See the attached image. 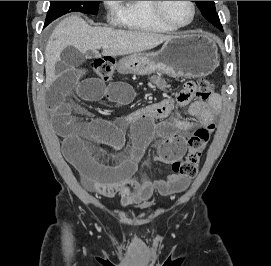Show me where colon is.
<instances>
[{
    "label": "colon",
    "mask_w": 271,
    "mask_h": 266,
    "mask_svg": "<svg viewBox=\"0 0 271 266\" xmlns=\"http://www.w3.org/2000/svg\"><path fill=\"white\" fill-rule=\"evenodd\" d=\"M92 68L95 74L102 80H107L113 75L114 61L111 58H97L92 62ZM214 94V86L207 79L198 81H188L184 84L182 90L178 93L179 99L195 98L200 101L210 99ZM214 124H209L196 129L188 140V152L183 160L172 164V171L184 178L192 179L198 171L201 155L206 149L212 133Z\"/></svg>",
    "instance_id": "1"
}]
</instances>
